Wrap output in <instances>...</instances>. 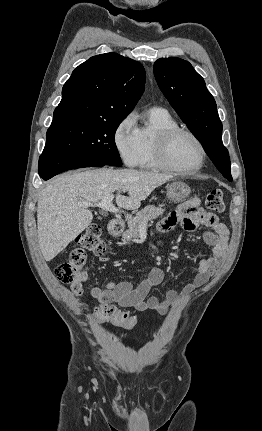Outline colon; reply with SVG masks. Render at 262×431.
<instances>
[{
  "instance_id": "obj_1",
  "label": "colon",
  "mask_w": 262,
  "mask_h": 431,
  "mask_svg": "<svg viewBox=\"0 0 262 431\" xmlns=\"http://www.w3.org/2000/svg\"><path fill=\"white\" fill-rule=\"evenodd\" d=\"M205 204L212 212H223L225 204L222 191L218 188L210 190L206 195ZM191 212H194V209H191ZM85 250L97 256L106 254L107 246L101 238L100 227L96 224H91L87 231L77 238L76 246L70 250L65 261L57 266L55 273L63 284L78 285L89 273V265L84 256ZM97 317L101 321H109L114 326L124 329H132L136 325L135 318L120 311L112 310L107 315L97 314Z\"/></svg>"
}]
</instances>
